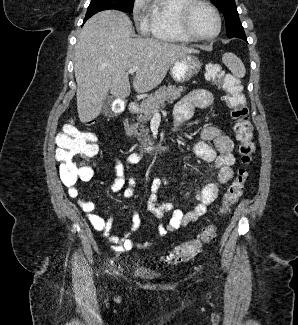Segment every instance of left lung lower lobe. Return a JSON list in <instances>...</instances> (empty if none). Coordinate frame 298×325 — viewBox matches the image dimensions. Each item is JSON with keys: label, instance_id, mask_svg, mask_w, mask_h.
Returning a JSON list of instances; mask_svg holds the SVG:
<instances>
[{"label": "left lung lower lobe", "instance_id": "1", "mask_svg": "<svg viewBox=\"0 0 298 325\" xmlns=\"http://www.w3.org/2000/svg\"><path fill=\"white\" fill-rule=\"evenodd\" d=\"M239 38H241V39H243V40L247 41V39H246V36H245V35H243V36H240Z\"/></svg>", "mask_w": 298, "mask_h": 325}]
</instances>
